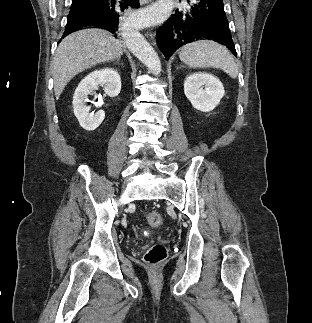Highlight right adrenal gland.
Here are the masks:
<instances>
[{"instance_id":"right-adrenal-gland-1","label":"right adrenal gland","mask_w":312,"mask_h":323,"mask_svg":"<svg viewBox=\"0 0 312 323\" xmlns=\"http://www.w3.org/2000/svg\"><path fill=\"white\" fill-rule=\"evenodd\" d=\"M116 64H119L120 62V58H118V60H115Z\"/></svg>"}]
</instances>
